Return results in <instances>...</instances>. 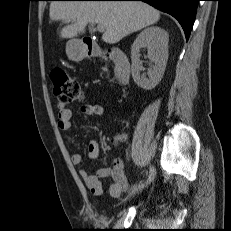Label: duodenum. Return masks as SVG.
<instances>
[{"mask_svg":"<svg viewBox=\"0 0 231 231\" xmlns=\"http://www.w3.org/2000/svg\"><path fill=\"white\" fill-rule=\"evenodd\" d=\"M81 51L87 57H97L102 54V51L98 44L90 38L83 39ZM108 56L114 64L115 77L117 81L121 84L126 83L130 75V66L123 52L119 49H112Z\"/></svg>","mask_w":231,"mask_h":231,"instance_id":"410a0bca","label":"duodenum"}]
</instances>
